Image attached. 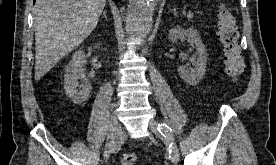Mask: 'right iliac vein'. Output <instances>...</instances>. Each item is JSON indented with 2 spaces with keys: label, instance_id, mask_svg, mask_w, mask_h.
Returning <instances> with one entry per match:
<instances>
[{
  "label": "right iliac vein",
  "instance_id": "63e3f726",
  "mask_svg": "<svg viewBox=\"0 0 276 165\" xmlns=\"http://www.w3.org/2000/svg\"><path fill=\"white\" fill-rule=\"evenodd\" d=\"M122 139V129L115 115H111L109 121V132L104 151V159L107 160L111 153L118 149L119 141Z\"/></svg>",
  "mask_w": 276,
  "mask_h": 165
}]
</instances>
